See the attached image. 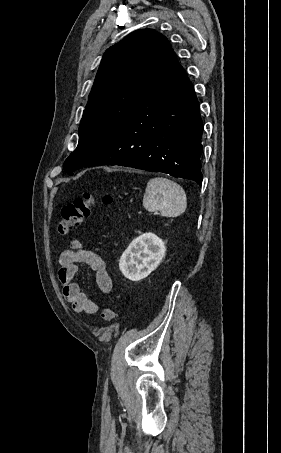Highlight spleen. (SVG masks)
Returning a JSON list of instances; mask_svg holds the SVG:
<instances>
[{
	"label": "spleen",
	"mask_w": 281,
	"mask_h": 453,
	"mask_svg": "<svg viewBox=\"0 0 281 453\" xmlns=\"http://www.w3.org/2000/svg\"><path fill=\"white\" fill-rule=\"evenodd\" d=\"M143 206L149 212L159 210L162 216H179L186 210V194L177 182L157 176L147 182Z\"/></svg>",
	"instance_id": "spleen-1"
}]
</instances>
